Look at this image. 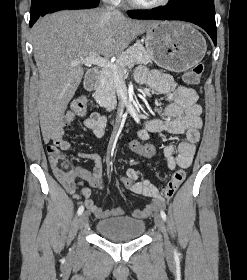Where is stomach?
Returning <instances> with one entry per match:
<instances>
[{
	"instance_id": "0dacf381",
	"label": "stomach",
	"mask_w": 247,
	"mask_h": 280,
	"mask_svg": "<svg viewBox=\"0 0 247 280\" xmlns=\"http://www.w3.org/2000/svg\"><path fill=\"white\" fill-rule=\"evenodd\" d=\"M146 49L160 67L184 72L205 56L207 44L203 35L183 22L158 21L146 34Z\"/></svg>"
}]
</instances>
